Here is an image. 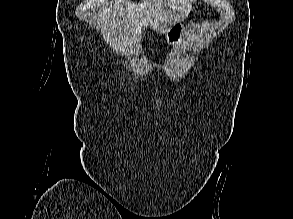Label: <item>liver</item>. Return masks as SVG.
Listing matches in <instances>:
<instances>
[{"label":"liver","mask_w":293,"mask_h":219,"mask_svg":"<svg viewBox=\"0 0 293 219\" xmlns=\"http://www.w3.org/2000/svg\"><path fill=\"white\" fill-rule=\"evenodd\" d=\"M195 0H144L132 3L116 0L102 3L94 12L96 26L100 27L105 41L116 51L131 53L140 46L142 29L150 26L160 34L166 33L177 21L188 16Z\"/></svg>","instance_id":"liver-1"}]
</instances>
